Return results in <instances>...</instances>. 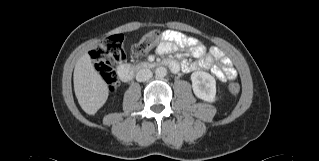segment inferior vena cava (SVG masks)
I'll return each instance as SVG.
<instances>
[{
	"mask_svg": "<svg viewBox=\"0 0 319 161\" xmlns=\"http://www.w3.org/2000/svg\"><path fill=\"white\" fill-rule=\"evenodd\" d=\"M152 71L149 69H140L136 74V80L138 82H144L149 80L152 77Z\"/></svg>",
	"mask_w": 319,
	"mask_h": 161,
	"instance_id": "obj_1",
	"label": "inferior vena cava"
}]
</instances>
